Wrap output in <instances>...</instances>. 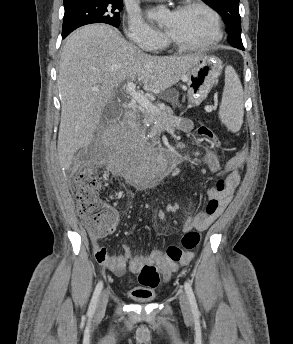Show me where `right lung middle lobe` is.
Masks as SVG:
<instances>
[{
    "mask_svg": "<svg viewBox=\"0 0 293 344\" xmlns=\"http://www.w3.org/2000/svg\"><path fill=\"white\" fill-rule=\"evenodd\" d=\"M62 38L76 28L92 23H106L114 27L120 25L122 0H78L64 4Z\"/></svg>",
    "mask_w": 293,
    "mask_h": 344,
    "instance_id": "1",
    "label": "right lung middle lobe"
}]
</instances>
